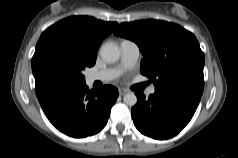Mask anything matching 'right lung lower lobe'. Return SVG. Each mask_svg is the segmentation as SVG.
<instances>
[{"label": "right lung lower lobe", "mask_w": 238, "mask_h": 158, "mask_svg": "<svg viewBox=\"0 0 238 158\" xmlns=\"http://www.w3.org/2000/svg\"><path fill=\"white\" fill-rule=\"evenodd\" d=\"M35 92L49 121L62 133L75 138L101 131L118 97L114 86L89 91L85 83L52 76L35 79Z\"/></svg>", "instance_id": "obj_1"}]
</instances>
